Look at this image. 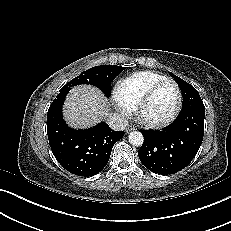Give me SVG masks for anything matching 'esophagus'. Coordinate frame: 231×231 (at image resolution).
Returning a JSON list of instances; mask_svg holds the SVG:
<instances>
[{"instance_id": "obj_1", "label": "esophagus", "mask_w": 231, "mask_h": 231, "mask_svg": "<svg viewBox=\"0 0 231 231\" xmlns=\"http://www.w3.org/2000/svg\"><path fill=\"white\" fill-rule=\"evenodd\" d=\"M125 130L129 133L130 131L135 130V127L133 125H128Z\"/></svg>"}]
</instances>
